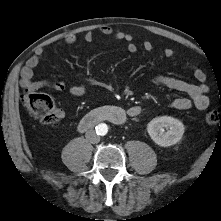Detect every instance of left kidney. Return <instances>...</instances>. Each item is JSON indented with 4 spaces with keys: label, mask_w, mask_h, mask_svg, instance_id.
<instances>
[{
    "label": "left kidney",
    "mask_w": 221,
    "mask_h": 221,
    "mask_svg": "<svg viewBox=\"0 0 221 221\" xmlns=\"http://www.w3.org/2000/svg\"><path fill=\"white\" fill-rule=\"evenodd\" d=\"M164 128L167 131H164ZM151 139L161 147H169L178 143L184 134L185 127L181 121L170 116L156 117L147 125Z\"/></svg>",
    "instance_id": "left-kidney-1"
}]
</instances>
